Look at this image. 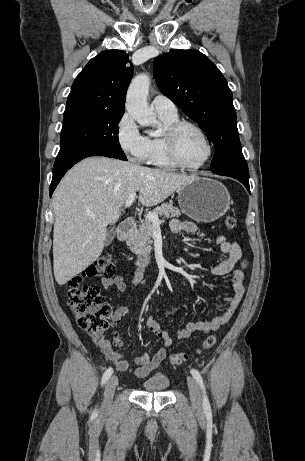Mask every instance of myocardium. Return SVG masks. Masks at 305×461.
Wrapping results in <instances>:
<instances>
[{
  "mask_svg": "<svg viewBox=\"0 0 305 461\" xmlns=\"http://www.w3.org/2000/svg\"><path fill=\"white\" fill-rule=\"evenodd\" d=\"M187 127L194 129L201 136L207 148V154L205 158L199 164H196V165H189L185 163L181 159L178 153L179 135L181 131ZM163 140H164L165 151H166L168 158L174 165L182 169H186L190 171L201 169L208 163L213 153L212 144L207 134L205 133V131L199 125L191 121L178 120L174 122L173 124H171L170 126H168L167 129L165 130Z\"/></svg>",
  "mask_w": 305,
  "mask_h": 461,
  "instance_id": "myocardium-1",
  "label": "myocardium"
}]
</instances>
